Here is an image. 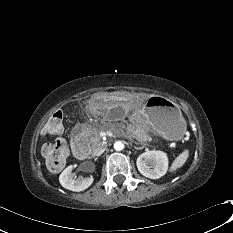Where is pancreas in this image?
Masks as SVG:
<instances>
[{
  "label": "pancreas",
  "instance_id": "pancreas-1",
  "mask_svg": "<svg viewBox=\"0 0 233 233\" xmlns=\"http://www.w3.org/2000/svg\"><path fill=\"white\" fill-rule=\"evenodd\" d=\"M91 131V137H90V143L91 148L95 152L97 151L101 146V141L98 135V132L95 129H90ZM132 137L137 140L138 144L146 145L147 141L151 140V137L148 133V128L146 125H138L135 129L132 130Z\"/></svg>",
  "mask_w": 233,
  "mask_h": 233
}]
</instances>
